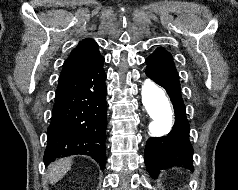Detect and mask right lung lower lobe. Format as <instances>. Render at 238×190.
Masks as SVG:
<instances>
[{"label": "right lung lower lobe", "instance_id": "obj_1", "mask_svg": "<svg viewBox=\"0 0 238 190\" xmlns=\"http://www.w3.org/2000/svg\"><path fill=\"white\" fill-rule=\"evenodd\" d=\"M104 58L89 70L58 84L47 131L44 162L75 154L106 161L107 104Z\"/></svg>", "mask_w": 238, "mask_h": 190}]
</instances>
